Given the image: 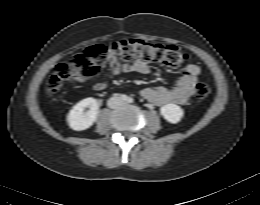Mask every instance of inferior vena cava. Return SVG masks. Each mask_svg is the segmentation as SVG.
<instances>
[{
  "label": "inferior vena cava",
  "mask_w": 260,
  "mask_h": 205,
  "mask_svg": "<svg viewBox=\"0 0 260 205\" xmlns=\"http://www.w3.org/2000/svg\"><path fill=\"white\" fill-rule=\"evenodd\" d=\"M121 104H122V101L119 97H111L108 100V106L110 108H116V107L120 106Z\"/></svg>",
  "instance_id": "1"
}]
</instances>
